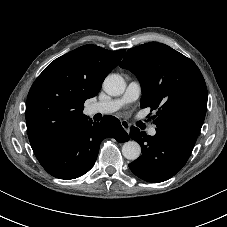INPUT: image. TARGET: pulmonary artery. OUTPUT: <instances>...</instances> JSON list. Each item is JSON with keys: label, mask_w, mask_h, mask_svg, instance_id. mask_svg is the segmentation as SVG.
<instances>
[{"label": "pulmonary artery", "mask_w": 227, "mask_h": 227, "mask_svg": "<svg viewBox=\"0 0 227 227\" xmlns=\"http://www.w3.org/2000/svg\"><path fill=\"white\" fill-rule=\"evenodd\" d=\"M142 92V88L139 82L132 81L127 85L124 94L116 99H110L95 103L91 110L93 113L110 114L114 113L126 104L136 101ZM149 135L154 136L156 134L155 127H151L148 131Z\"/></svg>", "instance_id": "pulmonary-artery-1"}]
</instances>
